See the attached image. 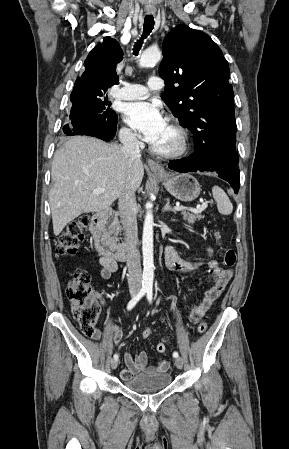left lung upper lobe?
<instances>
[{
	"mask_svg": "<svg viewBox=\"0 0 289 449\" xmlns=\"http://www.w3.org/2000/svg\"><path fill=\"white\" fill-rule=\"evenodd\" d=\"M159 75L162 99L194 134L197 150L206 152L216 138L236 142L230 70L218 45L205 33L178 25L165 37Z\"/></svg>",
	"mask_w": 289,
	"mask_h": 449,
	"instance_id": "5c2ea615",
	"label": "left lung upper lobe"
}]
</instances>
